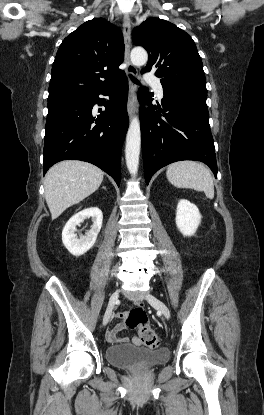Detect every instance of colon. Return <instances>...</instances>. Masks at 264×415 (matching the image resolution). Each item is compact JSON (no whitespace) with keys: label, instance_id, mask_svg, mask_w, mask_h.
I'll return each mask as SVG.
<instances>
[{"label":"colon","instance_id":"5ec220e1","mask_svg":"<svg viewBox=\"0 0 264 415\" xmlns=\"http://www.w3.org/2000/svg\"><path fill=\"white\" fill-rule=\"evenodd\" d=\"M126 324L129 328L138 329L141 342L146 347H158L159 339L148 322L146 311L142 305H137L130 310Z\"/></svg>","mask_w":264,"mask_h":415}]
</instances>
